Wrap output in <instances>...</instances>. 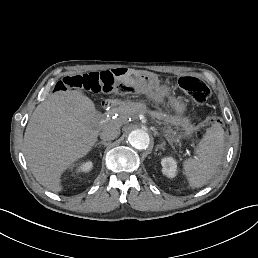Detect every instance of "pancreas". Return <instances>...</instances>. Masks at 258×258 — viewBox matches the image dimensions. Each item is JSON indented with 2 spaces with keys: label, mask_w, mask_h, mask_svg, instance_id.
<instances>
[{
  "label": "pancreas",
  "mask_w": 258,
  "mask_h": 258,
  "mask_svg": "<svg viewBox=\"0 0 258 258\" xmlns=\"http://www.w3.org/2000/svg\"><path fill=\"white\" fill-rule=\"evenodd\" d=\"M138 114H144V109H138ZM128 116H137V111H117V117H115L114 112L108 113V118L114 119V122H119V117H121V120H126ZM146 116L157 118V120H162V123L170 124V119L163 118V115H158V113L146 111ZM173 134L174 131L168 127L165 134L168 141L172 140Z\"/></svg>",
  "instance_id": "obj_1"
}]
</instances>
